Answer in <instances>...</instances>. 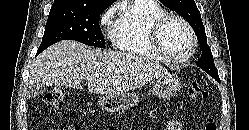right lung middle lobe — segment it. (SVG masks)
Instances as JSON below:
<instances>
[{"label":"right lung middle lobe","mask_w":249,"mask_h":130,"mask_svg":"<svg viewBox=\"0 0 249 130\" xmlns=\"http://www.w3.org/2000/svg\"><path fill=\"white\" fill-rule=\"evenodd\" d=\"M106 8L52 5L37 54L61 40H75L89 46L104 47L99 19Z\"/></svg>","instance_id":"1"}]
</instances>
